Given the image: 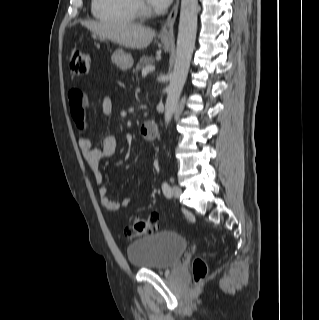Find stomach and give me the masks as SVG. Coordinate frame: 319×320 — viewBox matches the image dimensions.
Wrapping results in <instances>:
<instances>
[{
    "label": "stomach",
    "instance_id": "stomach-1",
    "mask_svg": "<svg viewBox=\"0 0 319 320\" xmlns=\"http://www.w3.org/2000/svg\"><path fill=\"white\" fill-rule=\"evenodd\" d=\"M162 43L164 44V47L166 50L170 49V44L164 40L161 39ZM112 61L119 67L122 71H126L130 69L133 65V58L131 54L124 52L122 49H117L112 54Z\"/></svg>",
    "mask_w": 319,
    "mask_h": 320
}]
</instances>
